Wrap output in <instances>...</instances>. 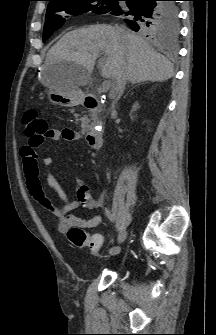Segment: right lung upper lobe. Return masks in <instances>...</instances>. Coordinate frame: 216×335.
<instances>
[{
  "label": "right lung upper lobe",
  "instance_id": "1",
  "mask_svg": "<svg viewBox=\"0 0 216 335\" xmlns=\"http://www.w3.org/2000/svg\"><path fill=\"white\" fill-rule=\"evenodd\" d=\"M49 1V4L52 3L53 1H61V0H47Z\"/></svg>",
  "mask_w": 216,
  "mask_h": 335
}]
</instances>
